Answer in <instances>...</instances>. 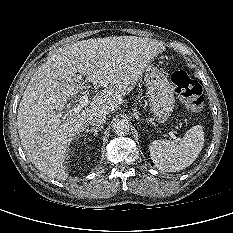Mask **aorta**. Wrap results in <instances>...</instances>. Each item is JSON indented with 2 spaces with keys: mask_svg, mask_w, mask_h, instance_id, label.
Wrapping results in <instances>:
<instances>
[{
  "mask_svg": "<svg viewBox=\"0 0 233 233\" xmlns=\"http://www.w3.org/2000/svg\"><path fill=\"white\" fill-rule=\"evenodd\" d=\"M113 132L118 136L128 134L130 130V123L126 119H117L112 124Z\"/></svg>",
  "mask_w": 233,
  "mask_h": 233,
  "instance_id": "762f6f07",
  "label": "aorta"
}]
</instances>
